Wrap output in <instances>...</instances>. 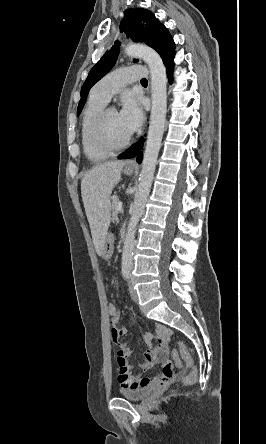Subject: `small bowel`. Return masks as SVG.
<instances>
[{
	"mask_svg": "<svg viewBox=\"0 0 266 444\" xmlns=\"http://www.w3.org/2000/svg\"><path fill=\"white\" fill-rule=\"evenodd\" d=\"M121 313L111 319V334L114 342L126 334V328L120 326ZM170 331L158 325L156 327L155 339L156 346L143 352L144 361L140 365L141 370L147 371L155 365L160 366V371L153 377L134 376L131 367L128 364V357L132 354V350L125 344H118L117 364L119 367L118 381L122 388H140L149 385L165 386L174 378V365L168 359V339ZM147 344L153 340V336L147 333L143 337Z\"/></svg>",
	"mask_w": 266,
	"mask_h": 444,
	"instance_id": "c3829d8e",
	"label": "small bowel"
}]
</instances>
